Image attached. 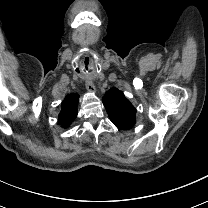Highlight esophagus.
<instances>
[{
    "mask_svg": "<svg viewBox=\"0 0 208 208\" xmlns=\"http://www.w3.org/2000/svg\"><path fill=\"white\" fill-rule=\"evenodd\" d=\"M86 88L90 93H95V91H96L95 86L92 82H87Z\"/></svg>",
    "mask_w": 208,
    "mask_h": 208,
    "instance_id": "esophagus-1",
    "label": "esophagus"
}]
</instances>
